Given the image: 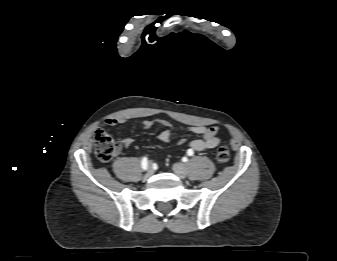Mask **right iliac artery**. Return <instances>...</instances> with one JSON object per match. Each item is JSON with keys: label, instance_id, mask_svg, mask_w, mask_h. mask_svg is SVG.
Masks as SVG:
<instances>
[{"label": "right iliac artery", "instance_id": "1", "mask_svg": "<svg viewBox=\"0 0 337 261\" xmlns=\"http://www.w3.org/2000/svg\"><path fill=\"white\" fill-rule=\"evenodd\" d=\"M141 166L143 170H146L148 168V160L146 157H144L141 161Z\"/></svg>", "mask_w": 337, "mask_h": 261}]
</instances>
